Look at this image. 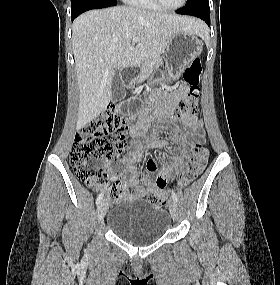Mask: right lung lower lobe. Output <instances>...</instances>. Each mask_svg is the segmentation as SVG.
<instances>
[{
  "instance_id": "98d812e1",
  "label": "right lung lower lobe",
  "mask_w": 280,
  "mask_h": 285,
  "mask_svg": "<svg viewBox=\"0 0 280 285\" xmlns=\"http://www.w3.org/2000/svg\"><path fill=\"white\" fill-rule=\"evenodd\" d=\"M117 2H112V3H102V2H89L86 3L79 8H76L72 10L71 12V20L73 21L78 15L81 13L90 10V9H98V8H105L109 6H115Z\"/></svg>"
}]
</instances>
